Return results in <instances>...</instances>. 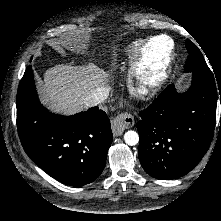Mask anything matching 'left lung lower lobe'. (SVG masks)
Masks as SVG:
<instances>
[{
    "instance_id": "obj_1",
    "label": "left lung lower lobe",
    "mask_w": 221,
    "mask_h": 221,
    "mask_svg": "<svg viewBox=\"0 0 221 221\" xmlns=\"http://www.w3.org/2000/svg\"><path fill=\"white\" fill-rule=\"evenodd\" d=\"M192 75L187 92L179 94L169 85L140 112L139 160L154 178L184 176L199 163L212 141L221 88L212 73Z\"/></svg>"
}]
</instances>
